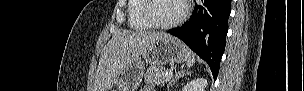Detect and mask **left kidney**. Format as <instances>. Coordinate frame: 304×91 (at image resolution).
Masks as SVG:
<instances>
[{"label": "left kidney", "mask_w": 304, "mask_h": 91, "mask_svg": "<svg viewBox=\"0 0 304 91\" xmlns=\"http://www.w3.org/2000/svg\"><path fill=\"white\" fill-rule=\"evenodd\" d=\"M207 80L205 78H197L187 83L182 91H205L207 87Z\"/></svg>", "instance_id": "1"}]
</instances>
